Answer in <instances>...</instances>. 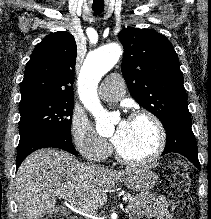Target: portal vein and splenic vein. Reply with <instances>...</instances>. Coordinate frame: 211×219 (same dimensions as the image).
<instances>
[{
  "mask_svg": "<svg viewBox=\"0 0 211 219\" xmlns=\"http://www.w3.org/2000/svg\"><path fill=\"white\" fill-rule=\"evenodd\" d=\"M69 203L71 206H73L74 208H76L79 211H84V212H92V210L87 209L85 210L82 206H80L75 200L73 199H68ZM132 207L129 205L125 208V213H129L131 211Z\"/></svg>",
  "mask_w": 211,
  "mask_h": 219,
  "instance_id": "obj_1",
  "label": "portal vein and splenic vein"
}]
</instances>
